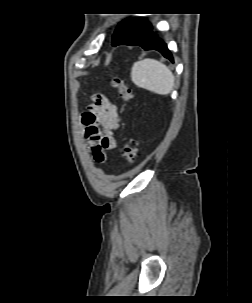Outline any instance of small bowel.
<instances>
[{"label": "small bowel", "instance_id": "c3829d8e", "mask_svg": "<svg viewBox=\"0 0 252 303\" xmlns=\"http://www.w3.org/2000/svg\"><path fill=\"white\" fill-rule=\"evenodd\" d=\"M91 100L82 119L84 138L94 161L103 164L108 158L106 150L115 147V134L122 115L103 94L93 93Z\"/></svg>", "mask_w": 252, "mask_h": 303}]
</instances>
